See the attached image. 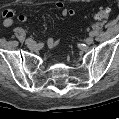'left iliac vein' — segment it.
Listing matches in <instances>:
<instances>
[{
	"mask_svg": "<svg viewBox=\"0 0 119 119\" xmlns=\"http://www.w3.org/2000/svg\"><path fill=\"white\" fill-rule=\"evenodd\" d=\"M93 41H94V39L92 37H88V38L85 39V43L88 44V45L92 44Z\"/></svg>",
	"mask_w": 119,
	"mask_h": 119,
	"instance_id": "4c4485c4",
	"label": "left iliac vein"
}]
</instances>
